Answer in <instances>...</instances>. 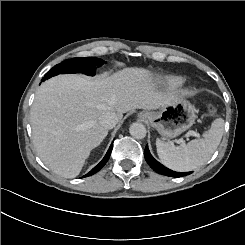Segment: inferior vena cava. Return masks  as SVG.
I'll return each instance as SVG.
<instances>
[{
	"label": "inferior vena cava",
	"mask_w": 245,
	"mask_h": 245,
	"mask_svg": "<svg viewBox=\"0 0 245 245\" xmlns=\"http://www.w3.org/2000/svg\"><path fill=\"white\" fill-rule=\"evenodd\" d=\"M117 122L116 114L112 111L103 112L98 119L99 125L104 129L114 128Z\"/></svg>",
	"instance_id": "obj_1"
}]
</instances>
